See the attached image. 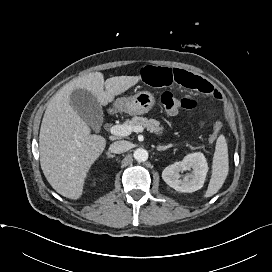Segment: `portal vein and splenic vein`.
Wrapping results in <instances>:
<instances>
[{"instance_id": "obj_1", "label": "portal vein and splenic vein", "mask_w": 272, "mask_h": 272, "mask_svg": "<svg viewBox=\"0 0 272 272\" xmlns=\"http://www.w3.org/2000/svg\"><path fill=\"white\" fill-rule=\"evenodd\" d=\"M144 128L142 126H130V125H113L110 128L111 134L115 136H128L131 134L132 131L134 132H142Z\"/></svg>"}]
</instances>
